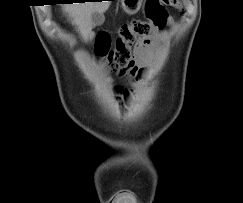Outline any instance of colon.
I'll list each match as a JSON object with an SVG mask.
<instances>
[{
	"mask_svg": "<svg viewBox=\"0 0 243 203\" xmlns=\"http://www.w3.org/2000/svg\"><path fill=\"white\" fill-rule=\"evenodd\" d=\"M167 8L183 10L181 0H147L144 5L145 17L124 23L119 29L114 48H111L109 34L105 32L98 34L95 44L98 60L111 72H121L129 67L132 61V49L138 42L154 31L164 28Z\"/></svg>",
	"mask_w": 243,
	"mask_h": 203,
	"instance_id": "1",
	"label": "colon"
}]
</instances>
